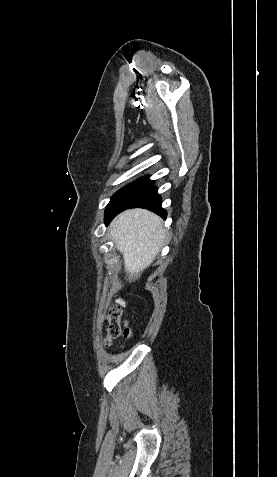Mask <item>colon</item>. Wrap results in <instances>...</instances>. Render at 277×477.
Instances as JSON below:
<instances>
[{
    "label": "colon",
    "instance_id": "colon-1",
    "mask_svg": "<svg viewBox=\"0 0 277 477\" xmlns=\"http://www.w3.org/2000/svg\"><path fill=\"white\" fill-rule=\"evenodd\" d=\"M108 327L106 332V342L109 344L112 340L123 336L125 339L131 335V330L127 324L121 326V309L113 307L108 312L107 316Z\"/></svg>",
    "mask_w": 277,
    "mask_h": 477
}]
</instances>
